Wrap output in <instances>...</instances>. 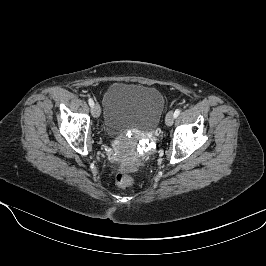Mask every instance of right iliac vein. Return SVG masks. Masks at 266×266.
Wrapping results in <instances>:
<instances>
[{"label": "right iliac vein", "instance_id": "obj_1", "mask_svg": "<svg viewBox=\"0 0 266 266\" xmlns=\"http://www.w3.org/2000/svg\"><path fill=\"white\" fill-rule=\"evenodd\" d=\"M91 113H92L93 117H95V118H98L100 116L101 109L97 103L94 104L93 107L91 108Z\"/></svg>", "mask_w": 266, "mask_h": 266}]
</instances>
